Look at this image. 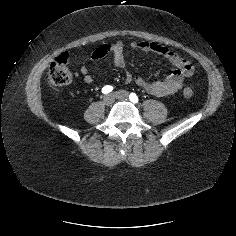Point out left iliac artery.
<instances>
[{"instance_id": "1", "label": "left iliac artery", "mask_w": 236, "mask_h": 236, "mask_svg": "<svg viewBox=\"0 0 236 236\" xmlns=\"http://www.w3.org/2000/svg\"><path fill=\"white\" fill-rule=\"evenodd\" d=\"M129 99L134 103H138V101H139L138 96L135 93H131L129 95Z\"/></svg>"}]
</instances>
